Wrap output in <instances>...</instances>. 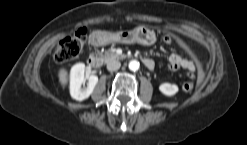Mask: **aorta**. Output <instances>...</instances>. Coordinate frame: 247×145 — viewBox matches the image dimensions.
Instances as JSON below:
<instances>
[{
  "instance_id": "1",
  "label": "aorta",
  "mask_w": 247,
  "mask_h": 145,
  "mask_svg": "<svg viewBox=\"0 0 247 145\" xmlns=\"http://www.w3.org/2000/svg\"><path fill=\"white\" fill-rule=\"evenodd\" d=\"M128 67L131 71H137L140 67V63L137 60H131Z\"/></svg>"
}]
</instances>
